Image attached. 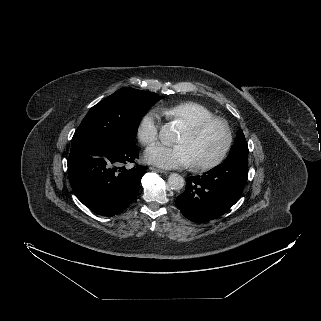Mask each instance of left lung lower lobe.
I'll return each mask as SVG.
<instances>
[{
  "instance_id": "left-lung-lower-lobe-1",
  "label": "left lung lower lobe",
  "mask_w": 321,
  "mask_h": 321,
  "mask_svg": "<svg viewBox=\"0 0 321 321\" xmlns=\"http://www.w3.org/2000/svg\"><path fill=\"white\" fill-rule=\"evenodd\" d=\"M248 176V158L234 157L202 176L189 177L176 207L189 220L208 222L227 212L240 198Z\"/></svg>"
}]
</instances>
